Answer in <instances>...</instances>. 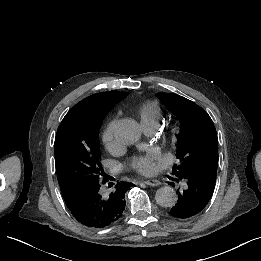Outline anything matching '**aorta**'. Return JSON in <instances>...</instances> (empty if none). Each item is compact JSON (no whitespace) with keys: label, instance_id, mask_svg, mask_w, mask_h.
Listing matches in <instances>:
<instances>
[{"label":"aorta","instance_id":"1","mask_svg":"<svg viewBox=\"0 0 261 261\" xmlns=\"http://www.w3.org/2000/svg\"><path fill=\"white\" fill-rule=\"evenodd\" d=\"M114 136L123 145L136 143L141 136L139 125L132 119H121L115 126ZM156 202L162 207H172L177 203V193L170 186H163L156 191Z\"/></svg>","mask_w":261,"mask_h":261}]
</instances>
